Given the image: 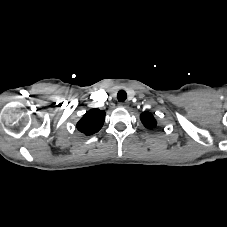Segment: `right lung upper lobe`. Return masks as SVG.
<instances>
[{"instance_id":"obj_1","label":"right lung upper lobe","mask_w":227,"mask_h":227,"mask_svg":"<svg viewBox=\"0 0 227 227\" xmlns=\"http://www.w3.org/2000/svg\"><path fill=\"white\" fill-rule=\"evenodd\" d=\"M105 111L97 108L87 111L77 123V129L85 135L98 132L104 124Z\"/></svg>"}]
</instances>
